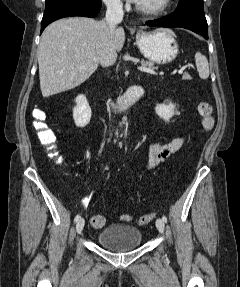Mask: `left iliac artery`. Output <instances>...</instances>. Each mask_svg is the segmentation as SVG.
<instances>
[{"mask_svg": "<svg viewBox=\"0 0 240 287\" xmlns=\"http://www.w3.org/2000/svg\"><path fill=\"white\" fill-rule=\"evenodd\" d=\"M162 219H163L164 222H167V217L166 216H163Z\"/></svg>", "mask_w": 240, "mask_h": 287, "instance_id": "44dca946", "label": "left iliac artery"}]
</instances>
